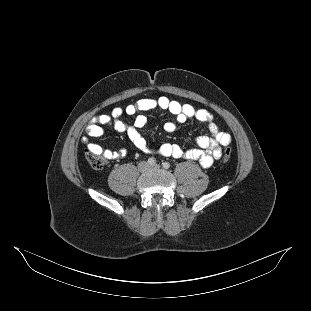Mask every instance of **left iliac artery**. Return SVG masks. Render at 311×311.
Here are the masks:
<instances>
[{
  "label": "left iliac artery",
  "mask_w": 311,
  "mask_h": 311,
  "mask_svg": "<svg viewBox=\"0 0 311 311\" xmlns=\"http://www.w3.org/2000/svg\"><path fill=\"white\" fill-rule=\"evenodd\" d=\"M162 166H163V168H165V169H169V168H170V163L164 162V163H162Z\"/></svg>",
  "instance_id": "1"
}]
</instances>
